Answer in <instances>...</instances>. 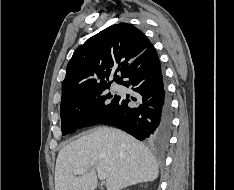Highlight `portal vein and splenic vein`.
<instances>
[{"label":"portal vein and splenic vein","instance_id":"18ae733b","mask_svg":"<svg viewBox=\"0 0 234 190\" xmlns=\"http://www.w3.org/2000/svg\"><path fill=\"white\" fill-rule=\"evenodd\" d=\"M97 172H98V177L100 180H105L106 179V174L105 172H103L101 169L97 168L96 169ZM87 171V168H81V169H78V170H75L74 171V174L75 175H82L84 174L85 172Z\"/></svg>","mask_w":234,"mask_h":190}]
</instances>
